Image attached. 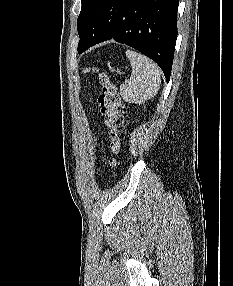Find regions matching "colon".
Here are the masks:
<instances>
[{
  "instance_id": "obj_1",
  "label": "colon",
  "mask_w": 233,
  "mask_h": 286,
  "mask_svg": "<svg viewBox=\"0 0 233 286\" xmlns=\"http://www.w3.org/2000/svg\"><path fill=\"white\" fill-rule=\"evenodd\" d=\"M101 92L98 97V103L102 115L105 118V125L108 129L110 138V147L113 152H118L120 148V133L124 123L125 108L119 95L116 85L110 76L104 72L99 73ZM115 163L114 159L110 164Z\"/></svg>"
}]
</instances>
